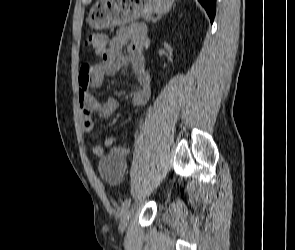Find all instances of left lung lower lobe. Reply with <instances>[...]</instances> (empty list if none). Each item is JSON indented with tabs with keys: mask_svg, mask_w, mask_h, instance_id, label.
<instances>
[{
	"mask_svg": "<svg viewBox=\"0 0 295 250\" xmlns=\"http://www.w3.org/2000/svg\"><path fill=\"white\" fill-rule=\"evenodd\" d=\"M200 4L205 8L207 14L213 22L215 11H216V0H198Z\"/></svg>",
	"mask_w": 295,
	"mask_h": 250,
	"instance_id": "left-lung-lower-lobe-1",
	"label": "left lung lower lobe"
}]
</instances>
